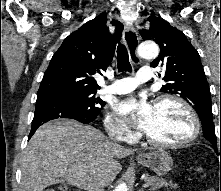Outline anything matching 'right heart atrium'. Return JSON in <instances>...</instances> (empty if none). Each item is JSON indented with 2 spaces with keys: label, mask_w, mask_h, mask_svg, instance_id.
I'll return each instance as SVG.
<instances>
[{
  "label": "right heart atrium",
  "mask_w": 221,
  "mask_h": 191,
  "mask_svg": "<svg viewBox=\"0 0 221 191\" xmlns=\"http://www.w3.org/2000/svg\"><path fill=\"white\" fill-rule=\"evenodd\" d=\"M104 125L109 135L122 142H133L136 134L122 123L113 113L106 114Z\"/></svg>",
  "instance_id": "right-heart-atrium-1"
}]
</instances>
